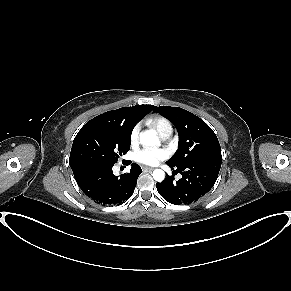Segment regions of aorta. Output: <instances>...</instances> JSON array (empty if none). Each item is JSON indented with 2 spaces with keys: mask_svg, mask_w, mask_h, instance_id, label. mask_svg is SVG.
<instances>
[{
  "mask_svg": "<svg viewBox=\"0 0 291 291\" xmlns=\"http://www.w3.org/2000/svg\"><path fill=\"white\" fill-rule=\"evenodd\" d=\"M140 142L146 146L159 144V139L155 131H145L140 134ZM155 181L161 182L165 178V173L161 169H156L152 174Z\"/></svg>",
  "mask_w": 291,
  "mask_h": 291,
  "instance_id": "1",
  "label": "aorta"
}]
</instances>
